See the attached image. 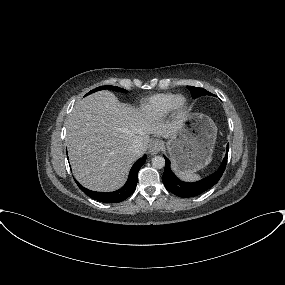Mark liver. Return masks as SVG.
Returning <instances> with one entry per match:
<instances>
[{
  "mask_svg": "<svg viewBox=\"0 0 285 285\" xmlns=\"http://www.w3.org/2000/svg\"><path fill=\"white\" fill-rule=\"evenodd\" d=\"M66 129L76 179L94 191H114L139 157L130 150L133 141L142 140L145 151L150 134L172 138L180 122L164 123L149 111L120 103L110 91H99L74 106Z\"/></svg>",
  "mask_w": 285,
  "mask_h": 285,
  "instance_id": "obj_1",
  "label": "liver"
}]
</instances>
